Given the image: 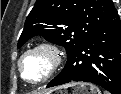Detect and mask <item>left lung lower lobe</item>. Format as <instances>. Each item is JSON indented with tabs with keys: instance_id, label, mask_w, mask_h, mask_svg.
I'll list each match as a JSON object with an SVG mask.
<instances>
[{
	"instance_id": "0a47b994",
	"label": "left lung lower lobe",
	"mask_w": 121,
	"mask_h": 94,
	"mask_svg": "<svg viewBox=\"0 0 121 94\" xmlns=\"http://www.w3.org/2000/svg\"><path fill=\"white\" fill-rule=\"evenodd\" d=\"M73 81L91 82L121 94V21L117 17L97 30L67 60L47 88Z\"/></svg>"
}]
</instances>
